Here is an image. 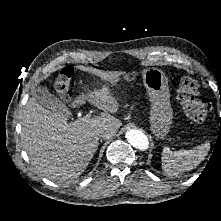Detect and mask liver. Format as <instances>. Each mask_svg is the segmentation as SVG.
I'll use <instances>...</instances> for the list:
<instances>
[{
	"mask_svg": "<svg viewBox=\"0 0 221 221\" xmlns=\"http://www.w3.org/2000/svg\"><path fill=\"white\" fill-rule=\"evenodd\" d=\"M81 70L100 77L105 83H114L124 75L123 72L90 67H82ZM86 100L104 112L70 123L66 116L47 110L35 97L26 103L21 119L23 148L35 169L50 180L70 182L77 179L99 146L100 132H107V139L114 136L122 125L111 115L118 111L119 103L110 95L109 88L101 87L79 96L75 104L82 105Z\"/></svg>",
	"mask_w": 221,
	"mask_h": 221,
	"instance_id": "6515ba94",
	"label": "liver"
}]
</instances>
